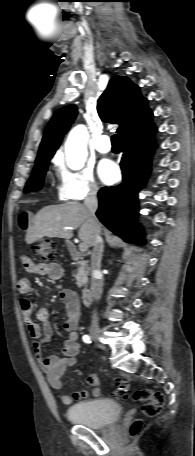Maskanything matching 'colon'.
<instances>
[{
    "label": "colon",
    "instance_id": "colon-1",
    "mask_svg": "<svg viewBox=\"0 0 195 456\" xmlns=\"http://www.w3.org/2000/svg\"><path fill=\"white\" fill-rule=\"evenodd\" d=\"M34 252L46 263H55L58 259L57 244L50 239L43 240L39 244L33 246ZM130 383L126 378L118 379L113 395L127 398L129 393ZM133 399L143 403V414L147 417L157 416L164 405L165 397L163 393L150 389L138 390L134 393ZM142 428V421L135 420L130 426V434L137 435Z\"/></svg>",
    "mask_w": 195,
    "mask_h": 456
}]
</instances>
